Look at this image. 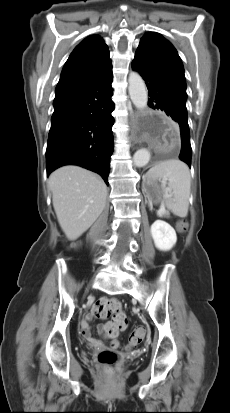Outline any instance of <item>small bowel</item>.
Listing matches in <instances>:
<instances>
[{
  "instance_id": "c3829d8e",
  "label": "small bowel",
  "mask_w": 230,
  "mask_h": 413,
  "mask_svg": "<svg viewBox=\"0 0 230 413\" xmlns=\"http://www.w3.org/2000/svg\"><path fill=\"white\" fill-rule=\"evenodd\" d=\"M94 314H89L83 320L81 328H82V335L93 345L100 344V341L94 338L91 334L89 322ZM115 326V328H113ZM128 325L127 317L122 313L121 315L117 316L115 320H110L105 324L99 327V331L103 333L108 338H115L119 332L126 329ZM110 329H114V336L111 335Z\"/></svg>"
}]
</instances>
